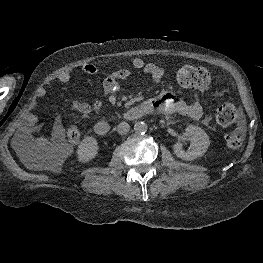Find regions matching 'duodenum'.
Segmentation results:
<instances>
[{
    "mask_svg": "<svg viewBox=\"0 0 263 263\" xmlns=\"http://www.w3.org/2000/svg\"><path fill=\"white\" fill-rule=\"evenodd\" d=\"M151 111H152L151 107L147 103L144 102V103H141V104L129 109L124 114L123 117L125 120L133 121V120L140 119L141 117L150 113ZM94 129H95V132L97 134L106 135L109 133V131L111 129V125L109 122H107L105 120H100L95 124Z\"/></svg>",
    "mask_w": 263,
    "mask_h": 263,
    "instance_id": "obj_1",
    "label": "duodenum"
}]
</instances>
